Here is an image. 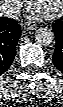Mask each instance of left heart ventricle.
Wrapping results in <instances>:
<instances>
[{"label": "left heart ventricle", "mask_w": 63, "mask_h": 107, "mask_svg": "<svg viewBox=\"0 0 63 107\" xmlns=\"http://www.w3.org/2000/svg\"><path fill=\"white\" fill-rule=\"evenodd\" d=\"M60 0H38L35 2L36 7L43 9L44 11H52L58 7Z\"/></svg>", "instance_id": "obj_1"}]
</instances>
